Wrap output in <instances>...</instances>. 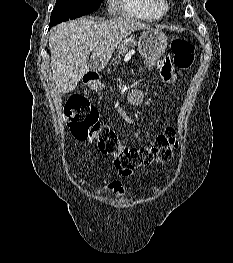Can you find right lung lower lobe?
I'll return each instance as SVG.
<instances>
[{
  "label": "right lung lower lobe",
  "instance_id": "obj_1",
  "mask_svg": "<svg viewBox=\"0 0 233 263\" xmlns=\"http://www.w3.org/2000/svg\"><path fill=\"white\" fill-rule=\"evenodd\" d=\"M54 25H56V24L50 23V27H51V26H54Z\"/></svg>",
  "mask_w": 233,
  "mask_h": 263
}]
</instances>
